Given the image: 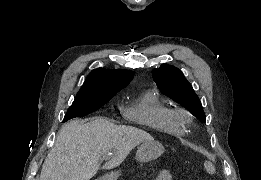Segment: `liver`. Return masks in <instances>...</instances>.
Instances as JSON below:
<instances>
[{"label": "liver", "instance_id": "1", "mask_svg": "<svg viewBox=\"0 0 261 180\" xmlns=\"http://www.w3.org/2000/svg\"><path fill=\"white\" fill-rule=\"evenodd\" d=\"M151 140L150 134L133 126H115L104 118H90V122L75 118L59 130L40 180H91L103 156L113 154L103 166V170H112L124 162L133 148Z\"/></svg>", "mask_w": 261, "mask_h": 180}]
</instances>
